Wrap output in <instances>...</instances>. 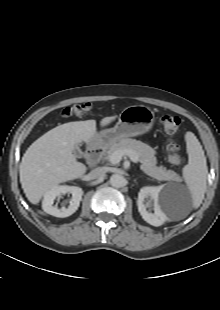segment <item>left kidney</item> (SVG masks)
Segmentation results:
<instances>
[{"label": "left kidney", "mask_w": 220, "mask_h": 310, "mask_svg": "<svg viewBox=\"0 0 220 310\" xmlns=\"http://www.w3.org/2000/svg\"><path fill=\"white\" fill-rule=\"evenodd\" d=\"M163 187H143L138 194V210L142 218L153 226L162 225L166 219V211L171 203V199L162 193ZM148 198L151 200L147 201ZM153 202L154 213L147 211Z\"/></svg>", "instance_id": "1"}]
</instances>
